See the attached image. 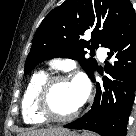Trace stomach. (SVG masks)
I'll return each instance as SVG.
<instances>
[{
  "mask_svg": "<svg viewBox=\"0 0 136 136\" xmlns=\"http://www.w3.org/2000/svg\"><path fill=\"white\" fill-rule=\"evenodd\" d=\"M55 136H80V135L77 134L76 132L65 131V132L58 133Z\"/></svg>",
  "mask_w": 136,
  "mask_h": 136,
  "instance_id": "obj_1",
  "label": "stomach"
}]
</instances>
